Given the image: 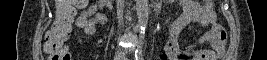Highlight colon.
Instances as JSON below:
<instances>
[{
  "mask_svg": "<svg viewBox=\"0 0 267 60\" xmlns=\"http://www.w3.org/2000/svg\"><path fill=\"white\" fill-rule=\"evenodd\" d=\"M86 0H58L52 25L46 34L44 52L49 60H70L71 56L65 47L76 13L75 5H85ZM77 24V22H76ZM81 27L86 24L82 22Z\"/></svg>",
  "mask_w": 267,
  "mask_h": 60,
  "instance_id": "1",
  "label": "colon"
}]
</instances>
